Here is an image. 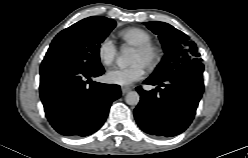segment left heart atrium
<instances>
[{"label":"left heart atrium","mask_w":248,"mask_h":158,"mask_svg":"<svg viewBox=\"0 0 248 158\" xmlns=\"http://www.w3.org/2000/svg\"><path fill=\"white\" fill-rule=\"evenodd\" d=\"M145 75V65L141 62L128 67H115L106 74V80L110 84L126 86L142 79Z\"/></svg>","instance_id":"39dd6f15"}]
</instances>
